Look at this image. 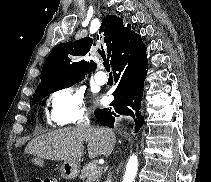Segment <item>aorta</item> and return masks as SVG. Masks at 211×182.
<instances>
[{
    "mask_svg": "<svg viewBox=\"0 0 211 182\" xmlns=\"http://www.w3.org/2000/svg\"><path fill=\"white\" fill-rule=\"evenodd\" d=\"M138 170L137 156L132 155L126 165L125 175L122 182H134Z\"/></svg>",
    "mask_w": 211,
    "mask_h": 182,
    "instance_id": "762f6f07",
    "label": "aorta"
}]
</instances>
